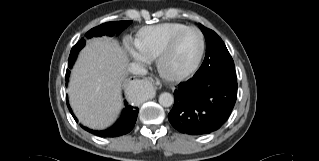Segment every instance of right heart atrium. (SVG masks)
<instances>
[{
	"label": "right heart atrium",
	"instance_id": "obj_1",
	"mask_svg": "<svg viewBox=\"0 0 319 161\" xmlns=\"http://www.w3.org/2000/svg\"><path fill=\"white\" fill-rule=\"evenodd\" d=\"M129 55L131 58L138 60V61H147V59L143 58L138 52L130 51Z\"/></svg>",
	"mask_w": 319,
	"mask_h": 161
}]
</instances>
